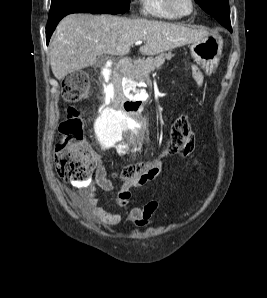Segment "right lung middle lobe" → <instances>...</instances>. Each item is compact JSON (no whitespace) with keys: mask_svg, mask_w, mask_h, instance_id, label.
<instances>
[{"mask_svg":"<svg viewBox=\"0 0 267 298\" xmlns=\"http://www.w3.org/2000/svg\"><path fill=\"white\" fill-rule=\"evenodd\" d=\"M129 6V0H52L48 23L71 13L123 14Z\"/></svg>","mask_w":267,"mask_h":298,"instance_id":"obj_1","label":"right lung middle lobe"}]
</instances>
